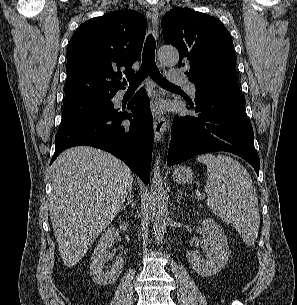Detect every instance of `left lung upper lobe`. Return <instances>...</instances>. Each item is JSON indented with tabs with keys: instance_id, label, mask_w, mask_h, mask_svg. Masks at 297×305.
<instances>
[{
	"instance_id": "obj_1",
	"label": "left lung upper lobe",
	"mask_w": 297,
	"mask_h": 305,
	"mask_svg": "<svg viewBox=\"0 0 297 305\" xmlns=\"http://www.w3.org/2000/svg\"><path fill=\"white\" fill-rule=\"evenodd\" d=\"M163 36L178 48V67L189 64L188 79L197 92L237 81L233 41L215 17L189 8H174L161 20Z\"/></svg>"
}]
</instances>
